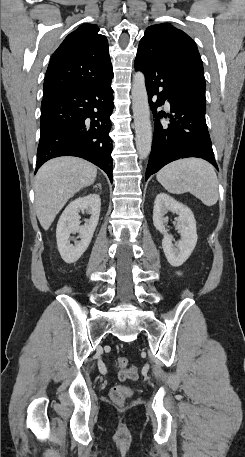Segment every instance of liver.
I'll use <instances>...</instances> for the list:
<instances>
[{
  "label": "liver",
  "instance_id": "liver-1",
  "mask_svg": "<svg viewBox=\"0 0 245 457\" xmlns=\"http://www.w3.org/2000/svg\"><path fill=\"white\" fill-rule=\"evenodd\" d=\"M96 174L94 164L77 156H59L42 164L36 174L35 206L44 231L75 192L93 184Z\"/></svg>",
  "mask_w": 245,
  "mask_h": 457
}]
</instances>
